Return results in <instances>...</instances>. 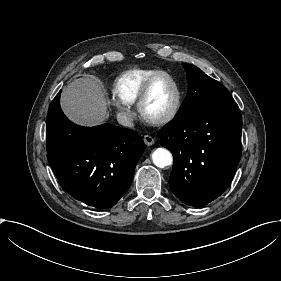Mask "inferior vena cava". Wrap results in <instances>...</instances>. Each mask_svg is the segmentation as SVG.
Listing matches in <instances>:
<instances>
[{"instance_id": "602c4592", "label": "inferior vena cava", "mask_w": 281, "mask_h": 281, "mask_svg": "<svg viewBox=\"0 0 281 281\" xmlns=\"http://www.w3.org/2000/svg\"><path fill=\"white\" fill-rule=\"evenodd\" d=\"M117 122L122 126L133 127L134 123L131 117L125 115L124 113L117 114Z\"/></svg>"}]
</instances>
